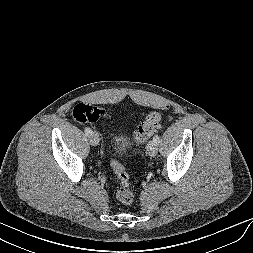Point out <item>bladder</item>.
<instances>
[{"label":"bladder","instance_id":"obj_1","mask_svg":"<svg viewBox=\"0 0 253 253\" xmlns=\"http://www.w3.org/2000/svg\"><path fill=\"white\" fill-rule=\"evenodd\" d=\"M112 146L114 147L115 151L121 155L125 156L130 151V144L126 136L120 133H116L112 137Z\"/></svg>","mask_w":253,"mask_h":253}]
</instances>
